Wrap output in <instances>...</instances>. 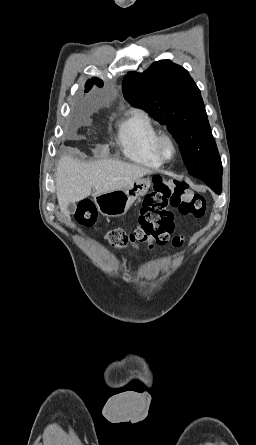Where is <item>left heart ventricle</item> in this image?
Wrapping results in <instances>:
<instances>
[{
  "label": "left heart ventricle",
  "instance_id": "left-heart-ventricle-1",
  "mask_svg": "<svg viewBox=\"0 0 256 445\" xmlns=\"http://www.w3.org/2000/svg\"><path fill=\"white\" fill-rule=\"evenodd\" d=\"M164 152H165V154H166L167 156H170V155H171L172 150H171V147H170L169 144H165V146H164Z\"/></svg>",
  "mask_w": 256,
  "mask_h": 445
}]
</instances>
